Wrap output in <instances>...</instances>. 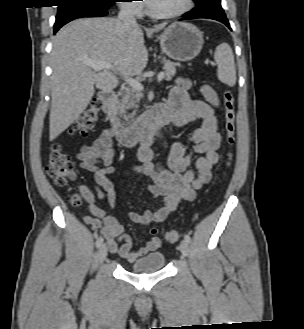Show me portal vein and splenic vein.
Wrapping results in <instances>:
<instances>
[{
	"instance_id": "1",
	"label": "portal vein and splenic vein",
	"mask_w": 304,
	"mask_h": 329,
	"mask_svg": "<svg viewBox=\"0 0 304 329\" xmlns=\"http://www.w3.org/2000/svg\"><path fill=\"white\" fill-rule=\"evenodd\" d=\"M86 65L94 69L95 71H100L103 69H112L113 66L105 61H86ZM164 78V72H160L158 74V81H161ZM125 81L133 88L138 91L143 90V85L137 80L132 77H125Z\"/></svg>"
}]
</instances>
